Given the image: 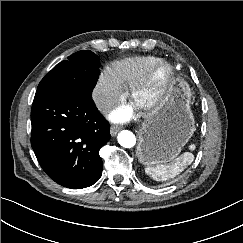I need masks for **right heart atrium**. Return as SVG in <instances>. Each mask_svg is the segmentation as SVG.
<instances>
[{
    "mask_svg": "<svg viewBox=\"0 0 243 243\" xmlns=\"http://www.w3.org/2000/svg\"><path fill=\"white\" fill-rule=\"evenodd\" d=\"M123 97V90L112 80L106 71L102 72L93 89L92 98L101 112L112 108Z\"/></svg>",
    "mask_w": 243,
    "mask_h": 243,
    "instance_id": "obj_1",
    "label": "right heart atrium"
}]
</instances>
